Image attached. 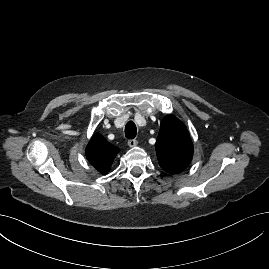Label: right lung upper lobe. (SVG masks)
Instances as JSON below:
<instances>
[{
	"label": "right lung upper lobe",
	"mask_w": 269,
	"mask_h": 269,
	"mask_svg": "<svg viewBox=\"0 0 269 269\" xmlns=\"http://www.w3.org/2000/svg\"><path fill=\"white\" fill-rule=\"evenodd\" d=\"M118 152L119 148L107 142L100 134H94L86 147L88 161L101 174L108 173Z\"/></svg>",
	"instance_id": "cb5924a9"
}]
</instances>
